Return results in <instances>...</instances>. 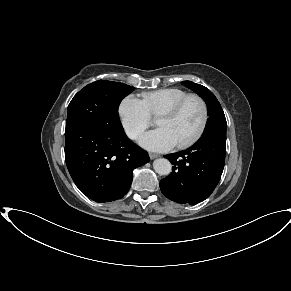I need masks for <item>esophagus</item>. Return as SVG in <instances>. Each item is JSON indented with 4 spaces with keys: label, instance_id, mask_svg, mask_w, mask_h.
I'll return each instance as SVG.
<instances>
[{
    "label": "esophagus",
    "instance_id": "esophagus-1",
    "mask_svg": "<svg viewBox=\"0 0 291 291\" xmlns=\"http://www.w3.org/2000/svg\"><path fill=\"white\" fill-rule=\"evenodd\" d=\"M149 157H150L151 159H155V158L160 157V155L157 154V153H152V152H150V153H149Z\"/></svg>",
    "mask_w": 291,
    "mask_h": 291
}]
</instances>
